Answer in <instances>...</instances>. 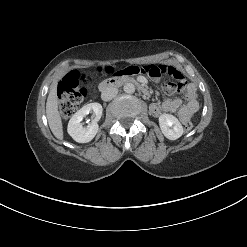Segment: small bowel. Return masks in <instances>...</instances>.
Instances as JSON below:
<instances>
[{
    "label": "small bowel",
    "mask_w": 247,
    "mask_h": 247,
    "mask_svg": "<svg viewBox=\"0 0 247 247\" xmlns=\"http://www.w3.org/2000/svg\"><path fill=\"white\" fill-rule=\"evenodd\" d=\"M115 75H142L149 77L153 81H159L163 76H168L174 80L173 82L170 81L166 83L163 87L164 91L169 95V98L162 103H152L150 105V112L156 117L167 113H177L180 122L185 125L194 117L199 109L194 85L187 83L184 74L173 65H130L119 69ZM178 92H184L185 102L180 98L174 97Z\"/></svg>",
    "instance_id": "obj_1"
}]
</instances>
